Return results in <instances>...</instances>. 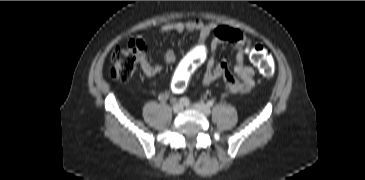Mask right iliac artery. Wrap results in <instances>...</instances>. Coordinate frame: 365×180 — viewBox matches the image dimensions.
<instances>
[{"label": "right iliac artery", "mask_w": 365, "mask_h": 180, "mask_svg": "<svg viewBox=\"0 0 365 180\" xmlns=\"http://www.w3.org/2000/svg\"><path fill=\"white\" fill-rule=\"evenodd\" d=\"M178 103L181 105H189L190 101L188 98H180Z\"/></svg>", "instance_id": "1"}]
</instances>
